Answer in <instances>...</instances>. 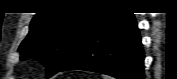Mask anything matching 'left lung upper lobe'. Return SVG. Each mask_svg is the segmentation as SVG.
<instances>
[{"instance_id": "1", "label": "left lung upper lobe", "mask_w": 177, "mask_h": 79, "mask_svg": "<svg viewBox=\"0 0 177 79\" xmlns=\"http://www.w3.org/2000/svg\"><path fill=\"white\" fill-rule=\"evenodd\" d=\"M106 13L67 10L37 13L31 21L29 34L18 49L21 58L39 60L47 66V77H51Z\"/></svg>"}]
</instances>
